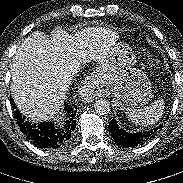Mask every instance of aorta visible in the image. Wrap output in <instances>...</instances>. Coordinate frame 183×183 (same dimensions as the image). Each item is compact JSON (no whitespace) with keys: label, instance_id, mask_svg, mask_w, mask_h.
Here are the masks:
<instances>
[{"label":"aorta","instance_id":"762f6f07","mask_svg":"<svg viewBox=\"0 0 183 183\" xmlns=\"http://www.w3.org/2000/svg\"><path fill=\"white\" fill-rule=\"evenodd\" d=\"M95 111L100 115H105L110 111V104L106 99H98L94 103Z\"/></svg>","mask_w":183,"mask_h":183}]
</instances>
